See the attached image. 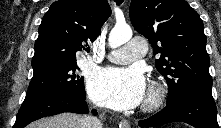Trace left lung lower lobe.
Here are the masks:
<instances>
[{"label": "left lung lower lobe", "instance_id": "obj_1", "mask_svg": "<svg viewBox=\"0 0 221 128\" xmlns=\"http://www.w3.org/2000/svg\"><path fill=\"white\" fill-rule=\"evenodd\" d=\"M217 110L212 94L192 93L166 105L160 112L139 121L140 127H155L171 122H185L195 128H219Z\"/></svg>", "mask_w": 221, "mask_h": 128}]
</instances>
